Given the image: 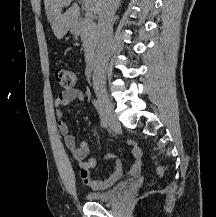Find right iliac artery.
Listing matches in <instances>:
<instances>
[{"label": "right iliac artery", "instance_id": "right-iliac-artery-1", "mask_svg": "<svg viewBox=\"0 0 216 217\" xmlns=\"http://www.w3.org/2000/svg\"><path fill=\"white\" fill-rule=\"evenodd\" d=\"M92 103L100 115L101 125L103 127H106L107 126V119H106V116H105V113H104V110H103L101 103L99 102V100H96V99H94L92 101Z\"/></svg>", "mask_w": 216, "mask_h": 217}]
</instances>
